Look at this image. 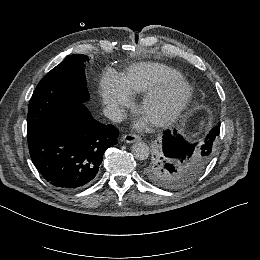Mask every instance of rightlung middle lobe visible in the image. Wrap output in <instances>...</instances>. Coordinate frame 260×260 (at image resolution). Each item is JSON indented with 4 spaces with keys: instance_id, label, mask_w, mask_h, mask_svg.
Masks as SVG:
<instances>
[{
    "instance_id": "right-lung-middle-lobe-1",
    "label": "right lung middle lobe",
    "mask_w": 260,
    "mask_h": 260,
    "mask_svg": "<svg viewBox=\"0 0 260 260\" xmlns=\"http://www.w3.org/2000/svg\"><path fill=\"white\" fill-rule=\"evenodd\" d=\"M87 60L86 55H70L43 77L30 100L27 134L89 99L84 70Z\"/></svg>"
}]
</instances>
